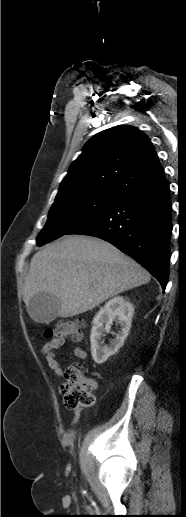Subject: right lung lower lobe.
<instances>
[{"mask_svg":"<svg viewBox=\"0 0 186 517\" xmlns=\"http://www.w3.org/2000/svg\"><path fill=\"white\" fill-rule=\"evenodd\" d=\"M172 204L165 178L122 195L68 234L101 238L145 267L165 289L169 278Z\"/></svg>","mask_w":186,"mask_h":517,"instance_id":"1","label":"right lung lower lobe"}]
</instances>
